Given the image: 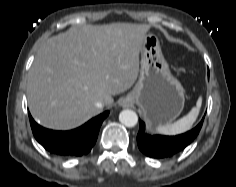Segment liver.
<instances>
[{
	"label": "liver",
	"instance_id": "liver-1",
	"mask_svg": "<svg viewBox=\"0 0 236 187\" xmlns=\"http://www.w3.org/2000/svg\"><path fill=\"white\" fill-rule=\"evenodd\" d=\"M148 25L112 23L74 27L37 51L27 78L32 116L50 129L69 130L96 116L101 101L132 87Z\"/></svg>",
	"mask_w": 236,
	"mask_h": 187
}]
</instances>
